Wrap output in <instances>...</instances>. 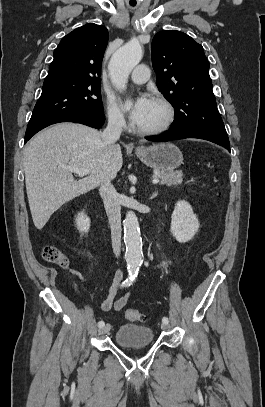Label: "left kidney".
<instances>
[{"label": "left kidney", "instance_id": "1", "mask_svg": "<svg viewBox=\"0 0 265 407\" xmlns=\"http://www.w3.org/2000/svg\"><path fill=\"white\" fill-rule=\"evenodd\" d=\"M199 228V221L191 205L182 200L178 201L171 216V234L180 243L190 241Z\"/></svg>", "mask_w": 265, "mask_h": 407}]
</instances>
